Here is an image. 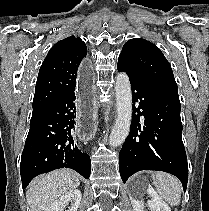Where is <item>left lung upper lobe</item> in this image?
Instances as JSON below:
<instances>
[{
	"label": "left lung upper lobe",
	"instance_id": "5c2ea615",
	"mask_svg": "<svg viewBox=\"0 0 209 211\" xmlns=\"http://www.w3.org/2000/svg\"><path fill=\"white\" fill-rule=\"evenodd\" d=\"M118 61L125 62L139 77L161 89L178 93L170 64L153 43L134 38L127 41Z\"/></svg>",
	"mask_w": 209,
	"mask_h": 211
}]
</instances>
